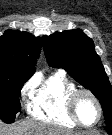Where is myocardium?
Segmentation results:
<instances>
[{"instance_id": "f54148a6", "label": "myocardium", "mask_w": 112, "mask_h": 135, "mask_svg": "<svg viewBox=\"0 0 112 135\" xmlns=\"http://www.w3.org/2000/svg\"><path fill=\"white\" fill-rule=\"evenodd\" d=\"M82 94L89 96L95 103L97 110H98V117H97L96 121L90 125L83 123L77 112V98ZM67 107H68V111H69L72 119L79 126L84 127V128H91V127L96 126L102 118L103 109H102V105H101L99 99L91 90L86 89V88H75L74 90H72L67 97Z\"/></svg>"}]
</instances>
